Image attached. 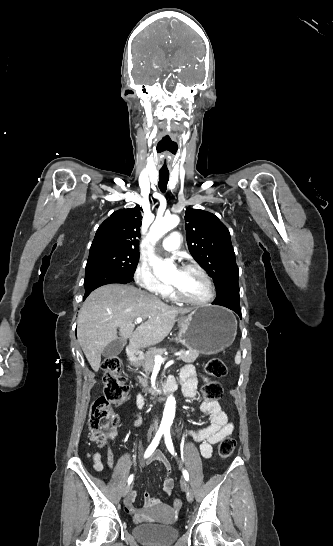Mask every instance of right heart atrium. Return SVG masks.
I'll return each mask as SVG.
<instances>
[{"label": "right heart atrium", "mask_w": 333, "mask_h": 546, "mask_svg": "<svg viewBox=\"0 0 333 546\" xmlns=\"http://www.w3.org/2000/svg\"><path fill=\"white\" fill-rule=\"evenodd\" d=\"M134 279L138 286L155 295L163 296L169 292V286L156 277L152 266L145 261L138 264Z\"/></svg>", "instance_id": "1"}]
</instances>
